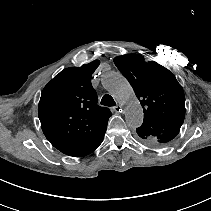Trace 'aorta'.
Returning <instances> with one entry per match:
<instances>
[{
    "label": "aorta",
    "mask_w": 211,
    "mask_h": 211,
    "mask_svg": "<svg viewBox=\"0 0 211 211\" xmlns=\"http://www.w3.org/2000/svg\"><path fill=\"white\" fill-rule=\"evenodd\" d=\"M103 85L119 103L124 105L125 118L129 126L139 127L143 122L142 107L126 78L118 73H108L103 78Z\"/></svg>",
    "instance_id": "aorta-1"
}]
</instances>
